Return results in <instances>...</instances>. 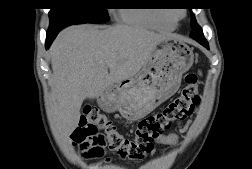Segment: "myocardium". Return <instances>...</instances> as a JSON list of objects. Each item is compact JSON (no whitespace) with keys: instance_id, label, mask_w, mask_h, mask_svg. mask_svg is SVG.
Instances as JSON below:
<instances>
[{"instance_id":"obj_1","label":"myocardium","mask_w":252,"mask_h":169,"mask_svg":"<svg viewBox=\"0 0 252 169\" xmlns=\"http://www.w3.org/2000/svg\"><path fill=\"white\" fill-rule=\"evenodd\" d=\"M186 14V11L183 10L182 12L176 13L173 16H171L173 19L178 20L180 18H183Z\"/></svg>"}]
</instances>
